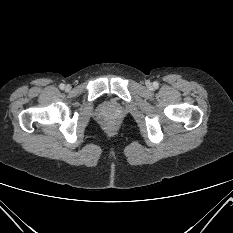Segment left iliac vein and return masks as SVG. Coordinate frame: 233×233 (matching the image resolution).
Masks as SVG:
<instances>
[{
  "instance_id": "1",
  "label": "left iliac vein",
  "mask_w": 233,
  "mask_h": 233,
  "mask_svg": "<svg viewBox=\"0 0 233 233\" xmlns=\"http://www.w3.org/2000/svg\"><path fill=\"white\" fill-rule=\"evenodd\" d=\"M148 87H151V84H150V83L148 84Z\"/></svg>"
}]
</instances>
